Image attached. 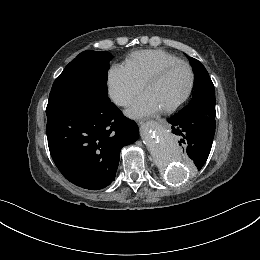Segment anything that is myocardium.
<instances>
[{"label":"myocardium","mask_w":260,"mask_h":260,"mask_svg":"<svg viewBox=\"0 0 260 260\" xmlns=\"http://www.w3.org/2000/svg\"><path fill=\"white\" fill-rule=\"evenodd\" d=\"M177 67H185L188 70L189 76H190L189 85H188L186 92L183 94V96L181 98H179L174 103L162 108V110L165 112H171V111L176 110L182 104H184L187 101V99L190 97V95L192 94V91H193L194 85H195V72H194V69L192 68V66L185 61H178V62L166 64V65L160 67L154 73H152L146 79V81L144 83V90L146 91L149 86H151L152 84H154L157 81H159L160 79H162L167 73H169L171 70H173Z\"/></svg>","instance_id":"f54148a6"}]
</instances>
